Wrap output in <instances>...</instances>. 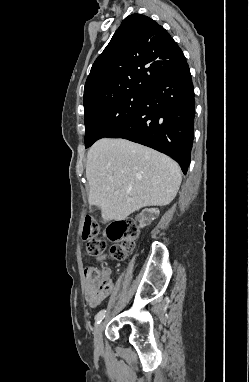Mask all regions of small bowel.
<instances>
[{
  "label": "small bowel",
  "instance_id": "small-bowel-1",
  "mask_svg": "<svg viewBox=\"0 0 249 382\" xmlns=\"http://www.w3.org/2000/svg\"><path fill=\"white\" fill-rule=\"evenodd\" d=\"M105 258H106L105 255H101V256H99L98 259L102 261ZM102 274H103V278L106 279L110 275V270L106 268V269L103 270ZM92 293H93V289L91 287V284L88 282L87 285H86V299H87V303L89 304V306L95 307V306L99 305L101 301L93 300L91 298Z\"/></svg>",
  "mask_w": 249,
  "mask_h": 382
}]
</instances>
